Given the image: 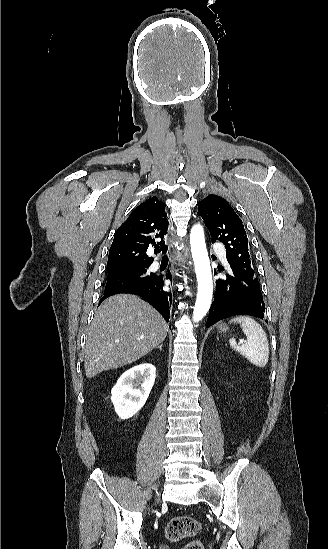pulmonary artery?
<instances>
[{"label": "pulmonary artery", "mask_w": 328, "mask_h": 549, "mask_svg": "<svg viewBox=\"0 0 328 549\" xmlns=\"http://www.w3.org/2000/svg\"><path fill=\"white\" fill-rule=\"evenodd\" d=\"M157 262H153L152 266H155Z\"/></svg>", "instance_id": "obj_1"}]
</instances>
